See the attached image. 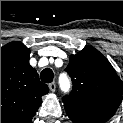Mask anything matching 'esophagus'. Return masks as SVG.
Returning a JSON list of instances; mask_svg holds the SVG:
<instances>
[{
	"label": "esophagus",
	"mask_w": 123,
	"mask_h": 123,
	"mask_svg": "<svg viewBox=\"0 0 123 123\" xmlns=\"http://www.w3.org/2000/svg\"><path fill=\"white\" fill-rule=\"evenodd\" d=\"M48 86H49V89L51 92L55 91V89H56V83L55 82L50 83Z\"/></svg>",
	"instance_id": "esophagus-1"
}]
</instances>
